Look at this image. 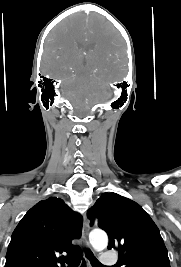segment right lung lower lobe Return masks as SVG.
Here are the masks:
<instances>
[{"label": "right lung lower lobe", "mask_w": 181, "mask_h": 267, "mask_svg": "<svg viewBox=\"0 0 181 267\" xmlns=\"http://www.w3.org/2000/svg\"><path fill=\"white\" fill-rule=\"evenodd\" d=\"M85 262H83V265H82V267H85V264H84Z\"/></svg>", "instance_id": "1"}]
</instances>
